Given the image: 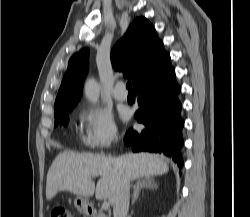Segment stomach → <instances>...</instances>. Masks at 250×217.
I'll use <instances>...</instances> for the list:
<instances>
[{"instance_id": "stomach-1", "label": "stomach", "mask_w": 250, "mask_h": 217, "mask_svg": "<svg viewBox=\"0 0 250 217\" xmlns=\"http://www.w3.org/2000/svg\"><path fill=\"white\" fill-rule=\"evenodd\" d=\"M74 206L75 208L82 214H89L90 202L87 197L77 196L74 199Z\"/></svg>"}]
</instances>
